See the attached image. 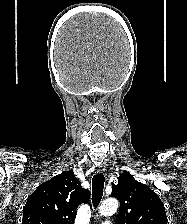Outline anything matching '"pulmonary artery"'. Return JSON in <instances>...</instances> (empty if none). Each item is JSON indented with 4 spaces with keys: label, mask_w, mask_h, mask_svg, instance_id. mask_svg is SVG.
Listing matches in <instances>:
<instances>
[{
    "label": "pulmonary artery",
    "mask_w": 187,
    "mask_h": 224,
    "mask_svg": "<svg viewBox=\"0 0 187 224\" xmlns=\"http://www.w3.org/2000/svg\"><path fill=\"white\" fill-rule=\"evenodd\" d=\"M102 224H112L110 221H104Z\"/></svg>",
    "instance_id": "1"
}]
</instances>
